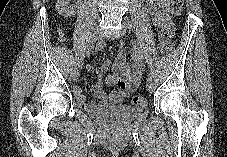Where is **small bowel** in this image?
I'll list each match as a JSON object with an SVG mask.
<instances>
[{
  "label": "small bowel",
  "mask_w": 227,
  "mask_h": 157,
  "mask_svg": "<svg viewBox=\"0 0 227 157\" xmlns=\"http://www.w3.org/2000/svg\"><path fill=\"white\" fill-rule=\"evenodd\" d=\"M146 6L152 17L153 24L159 29L171 31L170 0H146ZM131 57L133 65L130 70L126 62L125 53L120 52L113 64V72L106 77L105 72L109 67L108 62L99 65H88V69L93 71L98 78L97 82L92 85L91 90L99 99V102L87 101L81 87L76 86L73 92L78 105L83 110L91 112L122 102L130 92L138 87L145 69L143 55L136 45H132ZM103 81L109 86H115L116 90L106 94L102 87Z\"/></svg>",
  "instance_id": "c3829d8e"
}]
</instances>
